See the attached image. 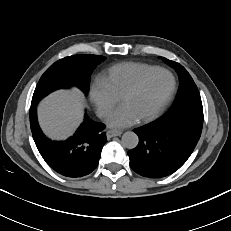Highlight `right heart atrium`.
<instances>
[{"label":"right heart atrium","instance_id":"1","mask_svg":"<svg viewBox=\"0 0 231 231\" xmlns=\"http://www.w3.org/2000/svg\"><path fill=\"white\" fill-rule=\"evenodd\" d=\"M91 100L101 117H106L118 104V98L109 88L103 78H96L90 90Z\"/></svg>","mask_w":231,"mask_h":231}]
</instances>
